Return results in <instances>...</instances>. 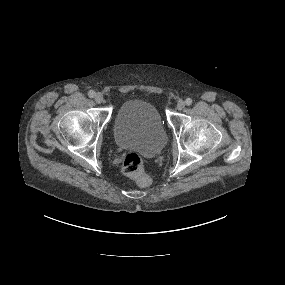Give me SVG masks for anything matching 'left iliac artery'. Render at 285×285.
Here are the masks:
<instances>
[{
	"instance_id": "1",
	"label": "left iliac artery",
	"mask_w": 285,
	"mask_h": 285,
	"mask_svg": "<svg viewBox=\"0 0 285 285\" xmlns=\"http://www.w3.org/2000/svg\"><path fill=\"white\" fill-rule=\"evenodd\" d=\"M185 104L186 105H191L192 104V99L191 98H187L186 100H185Z\"/></svg>"
}]
</instances>
